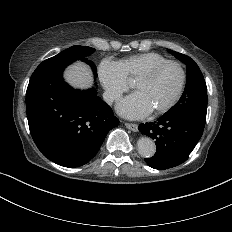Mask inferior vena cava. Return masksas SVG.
I'll return each mask as SVG.
<instances>
[{
	"instance_id": "obj_1",
	"label": "inferior vena cava",
	"mask_w": 232,
	"mask_h": 232,
	"mask_svg": "<svg viewBox=\"0 0 232 232\" xmlns=\"http://www.w3.org/2000/svg\"><path fill=\"white\" fill-rule=\"evenodd\" d=\"M103 99L107 104H112V102L114 101V96H113L112 92L105 91L103 93Z\"/></svg>"
}]
</instances>
